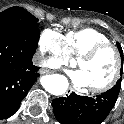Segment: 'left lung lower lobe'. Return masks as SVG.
<instances>
[{"label": "left lung lower lobe", "mask_w": 124, "mask_h": 124, "mask_svg": "<svg viewBox=\"0 0 124 124\" xmlns=\"http://www.w3.org/2000/svg\"><path fill=\"white\" fill-rule=\"evenodd\" d=\"M120 88L114 86L93 97L72 92L52 101L53 112L61 124H100L113 109Z\"/></svg>", "instance_id": "left-lung-lower-lobe-1"}]
</instances>
